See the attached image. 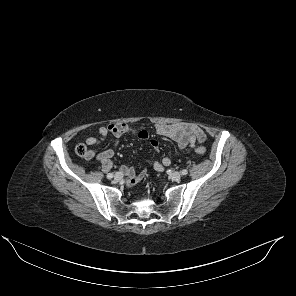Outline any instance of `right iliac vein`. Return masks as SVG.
Listing matches in <instances>:
<instances>
[{
  "instance_id": "63e3f726",
  "label": "right iliac vein",
  "mask_w": 296,
  "mask_h": 296,
  "mask_svg": "<svg viewBox=\"0 0 296 296\" xmlns=\"http://www.w3.org/2000/svg\"><path fill=\"white\" fill-rule=\"evenodd\" d=\"M122 177H123V175H122L120 172H117V173L115 174V179H116V180H120V179H122Z\"/></svg>"
}]
</instances>
